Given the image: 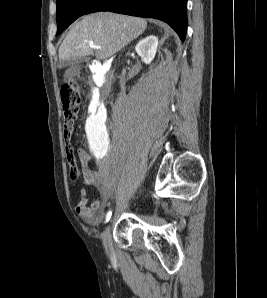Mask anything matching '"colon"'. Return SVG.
I'll return each instance as SVG.
<instances>
[{
	"instance_id": "obj_1",
	"label": "colon",
	"mask_w": 267,
	"mask_h": 298,
	"mask_svg": "<svg viewBox=\"0 0 267 298\" xmlns=\"http://www.w3.org/2000/svg\"><path fill=\"white\" fill-rule=\"evenodd\" d=\"M61 99L64 111V138L66 141L65 150L66 158L69 166V175L72 180L80 177L81 171L74 153V149L69 141L71 127L76 119V115L80 105L79 87L75 81L65 83L61 88ZM80 161L85 164V158L80 156Z\"/></svg>"
}]
</instances>
